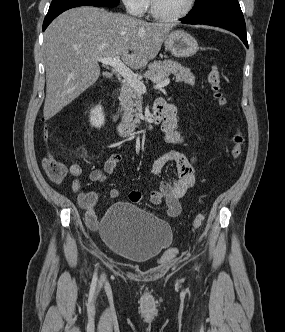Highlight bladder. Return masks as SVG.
Returning a JSON list of instances; mask_svg holds the SVG:
<instances>
[{
    "mask_svg": "<svg viewBox=\"0 0 285 332\" xmlns=\"http://www.w3.org/2000/svg\"><path fill=\"white\" fill-rule=\"evenodd\" d=\"M99 231L115 255L133 263L159 256L173 237L167 222L130 202L112 204L102 216Z\"/></svg>",
    "mask_w": 285,
    "mask_h": 332,
    "instance_id": "31cf9c89",
    "label": "bladder"
}]
</instances>
